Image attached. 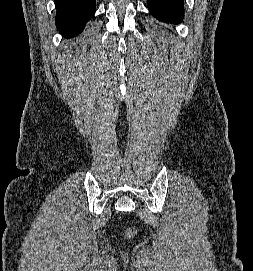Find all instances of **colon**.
Masks as SVG:
<instances>
[{
    "instance_id": "5ec220e1",
    "label": "colon",
    "mask_w": 253,
    "mask_h": 271,
    "mask_svg": "<svg viewBox=\"0 0 253 271\" xmlns=\"http://www.w3.org/2000/svg\"><path fill=\"white\" fill-rule=\"evenodd\" d=\"M135 233H136V231H135V229H133V228H129V229L127 230V235H128L129 237L133 236Z\"/></svg>"
}]
</instances>
